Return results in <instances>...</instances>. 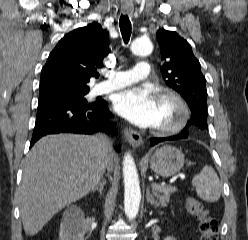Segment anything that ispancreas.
<instances>
[{"mask_svg":"<svg viewBox=\"0 0 248 240\" xmlns=\"http://www.w3.org/2000/svg\"><path fill=\"white\" fill-rule=\"evenodd\" d=\"M174 190L168 186L160 187L159 189H153L154 195L159 199V204L166 206L170 201V195Z\"/></svg>","mask_w":248,"mask_h":240,"instance_id":"obj_1","label":"pancreas"}]
</instances>
